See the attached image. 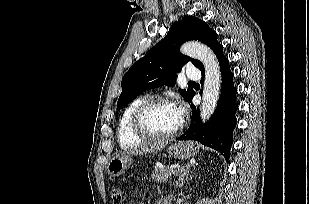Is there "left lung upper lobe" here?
<instances>
[{
    "label": "left lung upper lobe",
    "instance_id": "obj_1",
    "mask_svg": "<svg viewBox=\"0 0 309 204\" xmlns=\"http://www.w3.org/2000/svg\"><path fill=\"white\" fill-rule=\"evenodd\" d=\"M189 40H199L209 46L217 55L222 45L217 40V33L201 19L194 16L184 17L174 23L167 35L151 48L128 70L122 79V93L117 102V110L124 109L134 98L145 90L167 85L173 87L183 65L191 62L201 71L202 63L182 55L180 45ZM188 102L194 91L179 89Z\"/></svg>",
    "mask_w": 309,
    "mask_h": 204
}]
</instances>
